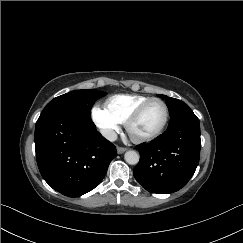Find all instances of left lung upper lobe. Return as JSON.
<instances>
[{
	"label": "left lung upper lobe",
	"mask_w": 243,
	"mask_h": 243,
	"mask_svg": "<svg viewBox=\"0 0 243 243\" xmlns=\"http://www.w3.org/2000/svg\"><path fill=\"white\" fill-rule=\"evenodd\" d=\"M158 96L166 100V104L169 108L171 117L169 125L177 122L179 119L183 117L194 115L193 111L183 101L171 97L167 98V96L165 95Z\"/></svg>",
	"instance_id": "left-lung-upper-lobe-1"
}]
</instances>
